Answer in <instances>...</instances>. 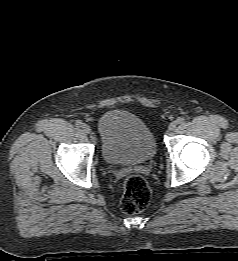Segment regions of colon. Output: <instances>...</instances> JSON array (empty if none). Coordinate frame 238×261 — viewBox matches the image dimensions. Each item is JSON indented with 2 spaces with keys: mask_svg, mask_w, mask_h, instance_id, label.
<instances>
[{
  "mask_svg": "<svg viewBox=\"0 0 238 261\" xmlns=\"http://www.w3.org/2000/svg\"><path fill=\"white\" fill-rule=\"evenodd\" d=\"M151 198L147 181L140 175H129L124 181V194L120 208L125 214H135L144 210Z\"/></svg>",
  "mask_w": 238,
  "mask_h": 261,
  "instance_id": "obj_1",
  "label": "colon"
}]
</instances>
